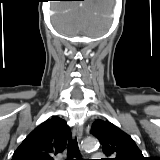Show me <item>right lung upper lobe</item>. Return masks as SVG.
Returning a JSON list of instances; mask_svg holds the SVG:
<instances>
[{
  "mask_svg": "<svg viewBox=\"0 0 160 160\" xmlns=\"http://www.w3.org/2000/svg\"><path fill=\"white\" fill-rule=\"evenodd\" d=\"M71 136L65 120L53 117L35 128L16 149L12 160H54Z\"/></svg>",
  "mask_w": 160,
  "mask_h": 160,
  "instance_id": "1",
  "label": "right lung upper lobe"
}]
</instances>
